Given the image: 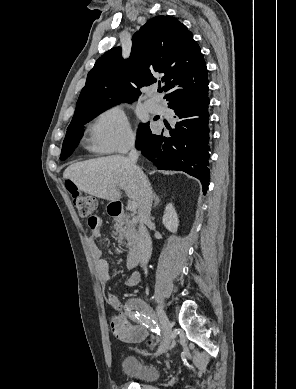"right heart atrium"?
<instances>
[{
  "label": "right heart atrium",
  "mask_w": 296,
  "mask_h": 389,
  "mask_svg": "<svg viewBox=\"0 0 296 389\" xmlns=\"http://www.w3.org/2000/svg\"><path fill=\"white\" fill-rule=\"evenodd\" d=\"M91 147L99 152L124 151L134 142V134L124 110L110 106L103 110L90 127Z\"/></svg>",
  "instance_id": "right-heart-atrium-1"
}]
</instances>
